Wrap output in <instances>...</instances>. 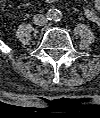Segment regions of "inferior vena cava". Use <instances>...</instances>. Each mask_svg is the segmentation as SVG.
<instances>
[{
	"label": "inferior vena cava",
	"instance_id": "obj_1",
	"mask_svg": "<svg viewBox=\"0 0 100 118\" xmlns=\"http://www.w3.org/2000/svg\"><path fill=\"white\" fill-rule=\"evenodd\" d=\"M33 22L35 25L44 26L48 22V18L43 14H35L33 17Z\"/></svg>",
	"mask_w": 100,
	"mask_h": 118
}]
</instances>
